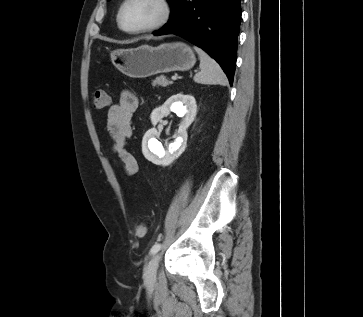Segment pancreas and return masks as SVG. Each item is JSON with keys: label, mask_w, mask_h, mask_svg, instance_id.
<instances>
[{"label": "pancreas", "mask_w": 363, "mask_h": 317, "mask_svg": "<svg viewBox=\"0 0 363 317\" xmlns=\"http://www.w3.org/2000/svg\"><path fill=\"white\" fill-rule=\"evenodd\" d=\"M170 84H172V82L167 80L165 76L156 77V79L152 81L153 86L159 85L162 87H166Z\"/></svg>", "instance_id": "1"}]
</instances>
